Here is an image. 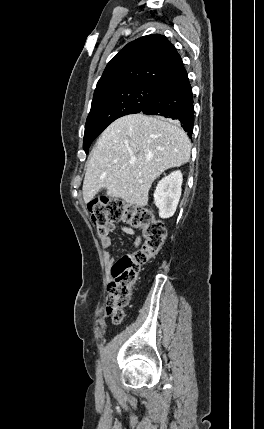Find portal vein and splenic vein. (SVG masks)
Listing matches in <instances>:
<instances>
[{
  "label": "portal vein and splenic vein",
  "mask_w": 264,
  "mask_h": 429,
  "mask_svg": "<svg viewBox=\"0 0 264 429\" xmlns=\"http://www.w3.org/2000/svg\"><path fill=\"white\" fill-rule=\"evenodd\" d=\"M130 164H131V165H134V164H135V160L131 161V162H130Z\"/></svg>",
  "instance_id": "obj_1"
}]
</instances>
